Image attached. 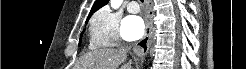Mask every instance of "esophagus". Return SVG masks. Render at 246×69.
<instances>
[{"label":"esophagus","instance_id":"34e87169","mask_svg":"<svg viewBox=\"0 0 246 69\" xmlns=\"http://www.w3.org/2000/svg\"><path fill=\"white\" fill-rule=\"evenodd\" d=\"M146 5H147V13H146V31L144 34V37L136 43V45L133 48L134 53L138 57H144L147 55L149 48L151 46V38H152V1L151 0H146ZM146 41V43H145Z\"/></svg>","mask_w":246,"mask_h":69}]
</instances>
